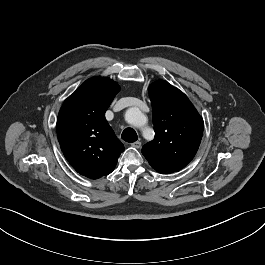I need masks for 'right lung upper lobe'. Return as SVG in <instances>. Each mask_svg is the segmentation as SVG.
<instances>
[{"instance_id":"obj_1","label":"right lung upper lobe","mask_w":265,"mask_h":265,"mask_svg":"<svg viewBox=\"0 0 265 265\" xmlns=\"http://www.w3.org/2000/svg\"><path fill=\"white\" fill-rule=\"evenodd\" d=\"M119 89L110 78H90L64 101L58 114L57 136L64 156L91 179L110 174L124 151L105 118Z\"/></svg>"}]
</instances>
